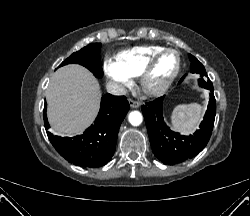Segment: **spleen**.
I'll list each match as a JSON object with an SVG mask.
<instances>
[{"instance_id":"1","label":"spleen","mask_w":250,"mask_h":216,"mask_svg":"<svg viewBox=\"0 0 250 216\" xmlns=\"http://www.w3.org/2000/svg\"><path fill=\"white\" fill-rule=\"evenodd\" d=\"M202 112L203 107L196 103L179 105L172 112L171 125L178 132L192 133L198 127Z\"/></svg>"}]
</instances>
